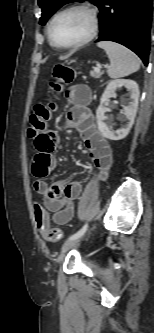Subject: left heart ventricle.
<instances>
[{"label":"left heart ventricle","mask_w":154,"mask_h":333,"mask_svg":"<svg viewBox=\"0 0 154 333\" xmlns=\"http://www.w3.org/2000/svg\"><path fill=\"white\" fill-rule=\"evenodd\" d=\"M89 27V17L86 13L70 11L55 20L52 26V35L57 44L69 45L85 37Z\"/></svg>","instance_id":"1"}]
</instances>
